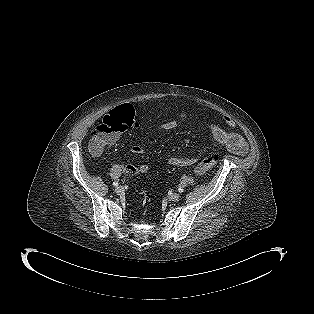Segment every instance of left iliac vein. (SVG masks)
I'll return each instance as SVG.
<instances>
[{
    "instance_id": "left-iliac-vein-1",
    "label": "left iliac vein",
    "mask_w": 314,
    "mask_h": 314,
    "mask_svg": "<svg viewBox=\"0 0 314 314\" xmlns=\"http://www.w3.org/2000/svg\"><path fill=\"white\" fill-rule=\"evenodd\" d=\"M179 198H180V194L176 192L168 195V199L170 201H177Z\"/></svg>"
}]
</instances>
